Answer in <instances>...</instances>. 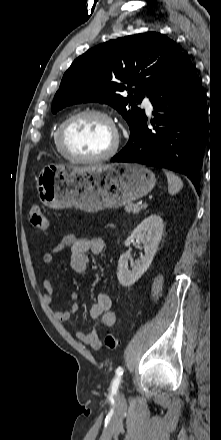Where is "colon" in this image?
<instances>
[{
  "instance_id": "5ec220e1",
  "label": "colon",
  "mask_w": 221,
  "mask_h": 440,
  "mask_svg": "<svg viewBox=\"0 0 221 440\" xmlns=\"http://www.w3.org/2000/svg\"><path fill=\"white\" fill-rule=\"evenodd\" d=\"M30 223L33 228L38 230H45L47 228V220L44 214L42 207L39 205H34L30 209ZM118 339L117 337L109 333L104 338V346L109 350H115L118 347Z\"/></svg>"
}]
</instances>
